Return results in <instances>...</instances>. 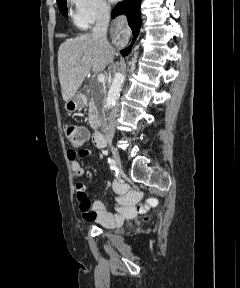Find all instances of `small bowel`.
<instances>
[{
	"label": "small bowel",
	"instance_id": "obj_1",
	"mask_svg": "<svg viewBox=\"0 0 240 288\" xmlns=\"http://www.w3.org/2000/svg\"><path fill=\"white\" fill-rule=\"evenodd\" d=\"M85 135L87 139L88 133L86 130ZM82 144L75 145L67 152L75 180L81 179L85 175L89 178L92 177V173L85 171L77 161L78 155L88 156L92 153L91 149H81ZM113 190L118 196L117 213L107 211L104 204L99 200L91 203L85 185L78 183L76 185V198L83 219L89 222H97L106 228H113L122 225L126 219L133 217L138 210L142 209V207L137 206L139 194L130 191L126 185L115 181Z\"/></svg>",
	"mask_w": 240,
	"mask_h": 288
}]
</instances>
